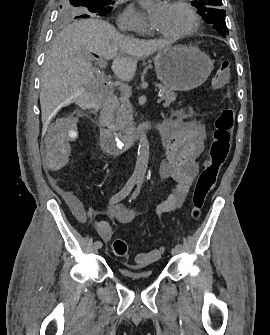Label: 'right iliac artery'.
I'll list each match as a JSON object with an SVG mask.
<instances>
[{"instance_id":"82829eb1","label":"right iliac artery","mask_w":270,"mask_h":335,"mask_svg":"<svg viewBox=\"0 0 270 335\" xmlns=\"http://www.w3.org/2000/svg\"><path fill=\"white\" fill-rule=\"evenodd\" d=\"M136 183V180L133 178H130L127 183L125 184V186L114 196L111 197L109 204L110 205H114L117 202L123 200L133 189L134 185ZM94 245H96L97 247L101 248L102 247V242L101 241H96L94 243Z\"/></svg>"}]
</instances>
